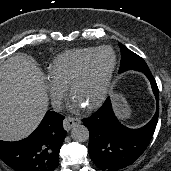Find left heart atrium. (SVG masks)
<instances>
[{"mask_svg":"<svg viewBox=\"0 0 171 171\" xmlns=\"http://www.w3.org/2000/svg\"><path fill=\"white\" fill-rule=\"evenodd\" d=\"M83 108L84 105L79 100H77L75 97L72 96L69 103V109L73 112H78Z\"/></svg>","mask_w":171,"mask_h":171,"instance_id":"1","label":"left heart atrium"}]
</instances>
